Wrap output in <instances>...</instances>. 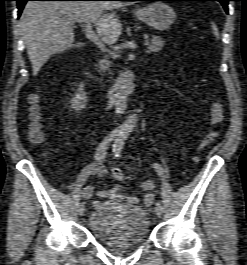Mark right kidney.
<instances>
[{
    "instance_id": "ca27d5eb",
    "label": "right kidney",
    "mask_w": 247,
    "mask_h": 265,
    "mask_svg": "<svg viewBox=\"0 0 247 265\" xmlns=\"http://www.w3.org/2000/svg\"><path fill=\"white\" fill-rule=\"evenodd\" d=\"M87 102V95L84 91V84L81 82L78 85V88L70 100V108L79 113L82 109L85 108Z\"/></svg>"
}]
</instances>
